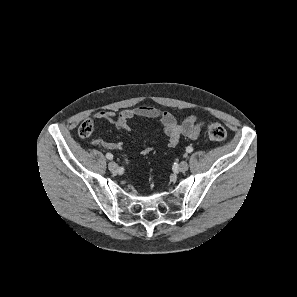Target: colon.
Masks as SVG:
<instances>
[{
    "instance_id": "colon-1",
    "label": "colon",
    "mask_w": 297,
    "mask_h": 297,
    "mask_svg": "<svg viewBox=\"0 0 297 297\" xmlns=\"http://www.w3.org/2000/svg\"><path fill=\"white\" fill-rule=\"evenodd\" d=\"M207 135L213 142L220 144L222 143L226 136V129L217 122H210L206 127ZM94 132V123L91 119L85 120L79 127V135L82 138H89ZM121 165L123 167H128L130 165V160L128 158H123L121 160Z\"/></svg>"
}]
</instances>
